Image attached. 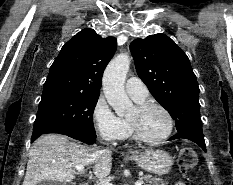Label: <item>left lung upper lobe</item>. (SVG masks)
<instances>
[{
	"label": "left lung upper lobe",
	"mask_w": 233,
	"mask_h": 185,
	"mask_svg": "<svg viewBox=\"0 0 233 185\" xmlns=\"http://www.w3.org/2000/svg\"><path fill=\"white\" fill-rule=\"evenodd\" d=\"M130 51L139 77L175 120L176 129L199 126V87L187 55L163 34L132 41Z\"/></svg>",
	"instance_id": "left-lung-upper-lobe-1"
}]
</instances>
